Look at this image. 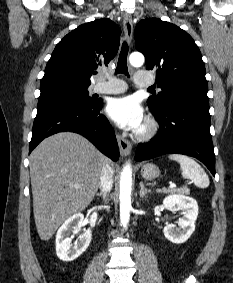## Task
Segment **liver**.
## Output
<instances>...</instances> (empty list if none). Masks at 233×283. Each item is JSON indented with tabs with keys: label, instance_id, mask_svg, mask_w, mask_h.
<instances>
[{
	"label": "liver",
	"instance_id": "1",
	"mask_svg": "<svg viewBox=\"0 0 233 283\" xmlns=\"http://www.w3.org/2000/svg\"><path fill=\"white\" fill-rule=\"evenodd\" d=\"M105 161L86 138L73 132L54 134L34 149L30 177L41 240H49L62 223L91 203L100 187Z\"/></svg>",
	"mask_w": 233,
	"mask_h": 283
}]
</instances>
